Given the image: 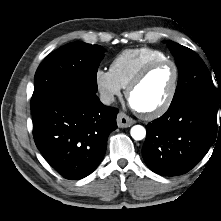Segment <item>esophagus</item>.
<instances>
[{
    "label": "esophagus",
    "instance_id": "34e87169",
    "mask_svg": "<svg viewBox=\"0 0 221 221\" xmlns=\"http://www.w3.org/2000/svg\"><path fill=\"white\" fill-rule=\"evenodd\" d=\"M135 123V120L127 116L123 112H119L117 115V125L120 128H127L132 126Z\"/></svg>",
    "mask_w": 221,
    "mask_h": 221
}]
</instances>
